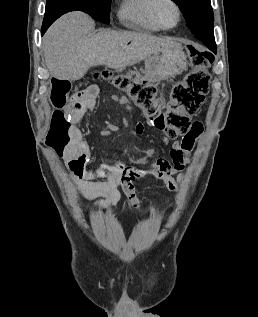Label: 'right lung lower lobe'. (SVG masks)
<instances>
[{
	"label": "right lung lower lobe",
	"instance_id": "98d812e1",
	"mask_svg": "<svg viewBox=\"0 0 258 317\" xmlns=\"http://www.w3.org/2000/svg\"><path fill=\"white\" fill-rule=\"evenodd\" d=\"M70 11H82L94 17L95 12L87 0H47L41 35L61 15Z\"/></svg>",
	"mask_w": 258,
	"mask_h": 317
}]
</instances>
